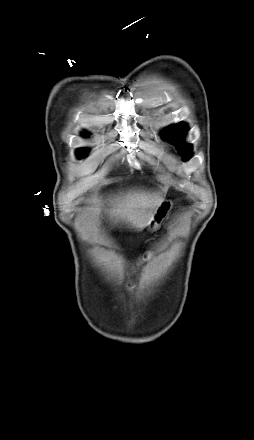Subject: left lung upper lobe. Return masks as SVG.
Wrapping results in <instances>:
<instances>
[{
  "mask_svg": "<svg viewBox=\"0 0 254 440\" xmlns=\"http://www.w3.org/2000/svg\"><path fill=\"white\" fill-rule=\"evenodd\" d=\"M188 127L186 123H178L171 125L162 131V136L172 142L177 151L182 155L184 161L191 157L192 146L183 141V136L187 133Z\"/></svg>",
  "mask_w": 254,
  "mask_h": 440,
  "instance_id": "5c2ea615",
  "label": "left lung upper lobe"
}]
</instances>
